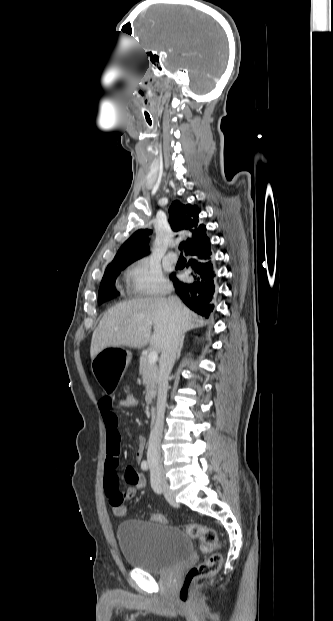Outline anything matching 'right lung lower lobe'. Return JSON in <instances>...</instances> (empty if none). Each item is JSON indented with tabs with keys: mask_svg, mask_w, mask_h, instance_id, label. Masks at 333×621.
<instances>
[{
	"mask_svg": "<svg viewBox=\"0 0 333 621\" xmlns=\"http://www.w3.org/2000/svg\"><path fill=\"white\" fill-rule=\"evenodd\" d=\"M190 257L188 266L192 269V283L179 281L174 274L173 281L176 294L183 302L198 314L209 317L214 309L216 274L212 261L211 245L206 248L192 249L186 253Z\"/></svg>",
	"mask_w": 333,
	"mask_h": 621,
	"instance_id": "1",
	"label": "right lung lower lobe"
}]
</instances>
